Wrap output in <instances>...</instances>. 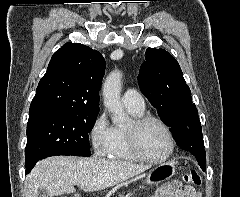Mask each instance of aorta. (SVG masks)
I'll return each mask as SVG.
<instances>
[{"label":"aorta","mask_w":240,"mask_h":197,"mask_svg":"<svg viewBox=\"0 0 240 197\" xmlns=\"http://www.w3.org/2000/svg\"><path fill=\"white\" fill-rule=\"evenodd\" d=\"M121 80L122 74L119 71H113L103 84L104 105L113 114L112 122L117 126L125 125L129 121L120 98Z\"/></svg>","instance_id":"762f6f07"}]
</instances>
